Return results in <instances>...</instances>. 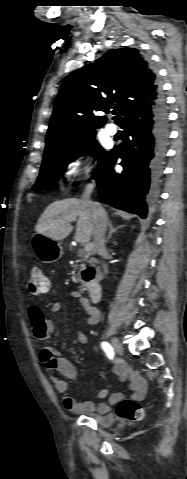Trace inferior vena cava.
<instances>
[{"instance_id":"obj_1","label":"inferior vena cava","mask_w":187,"mask_h":479,"mask_svg":"<svg viewBox=\"0 0 187 479\" xmlns=\"http://www.w3.org/2000/svg\"><path fill=\"white\" fill-rule=\"evenodd\" d=\"M93 188H94L93 185H88L84 190L81 200L83 204L89 210V213L91 216L94 246H95L96 252L99 256L104 257V255L107 252L105 247V242H106L105 233H106V228L108 225V218L104 208L99 203L93 202L90 199V195L93 191ZM102 266H103L104 272L107 274L108 273L107 265L103 264Z\"/></svg>"}]
</instances>
